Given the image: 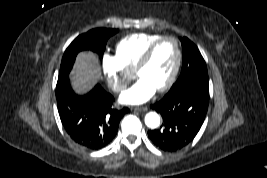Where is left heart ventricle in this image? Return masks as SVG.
I'll return each instance as SVG.
<instances>
[{"label": "left heart ventricle", "instance_id": "obj_1", "mask_svg": "<svg viewBox=\"0 0 267 178\" xmlns=\"http://www.w3.org/2000/svg\"><path fill=\"white\" fill-rule=\"evenodd\" d=\"M176 47L172 40H165L155 50L149 64L137 73L139 79H146L156 90L166 83L176 62Z\"/></svg>", "mask_w": 267, "mask_h": 178}]
</instances>
